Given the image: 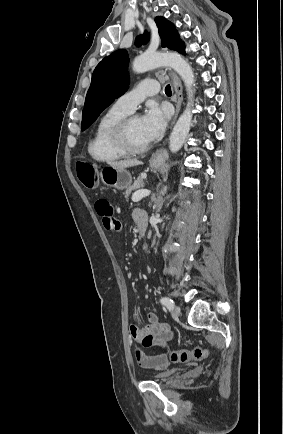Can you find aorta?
<instances>
[{
	"label": "aorta",
	"mask_w": 283,
	"mask_h": 434,
	"mask_svg": "<svg viewBox=\"0 0 283 434\" xmlns=\"http://www.w3.org/2000/svg\"><path fill=\"white\" fill-rule=\"evenodd\" d=\"M160 66H170L179 74L185 84L188 95L186 109L177 120L169 139L170 150L177 152L182 147L191 127L194 73L189 63L176 53H146L136 57L133 61V70L136 73H143Z\"/></svg>",
	"instance_id": "obj_1"
}]
</instances>
